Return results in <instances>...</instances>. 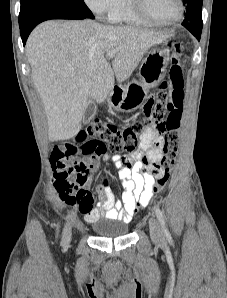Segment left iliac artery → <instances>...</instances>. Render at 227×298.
I'll return each instance as SVG.
<instances>
[{
  "instance_id": "obj_1",
  "label": "left iliac artery",
  "mask_w": 227,
  "mask_h": 298,
  "mask_svg": "<svg viewBox=\"0 0 227 298\" xmlns=\"http://www.w3.org/2000/svg\"><path fill=\"white\" fill-rule=\"evenodd\" d=\"M155 213H156V216H157V219L162 227V230H163V233L165 235L166 238H170V233L166 227V223H165V218H164V214L163 212L161 211V209L159 207H156L155 208Z\"/></svg>"
}]
</instances>
